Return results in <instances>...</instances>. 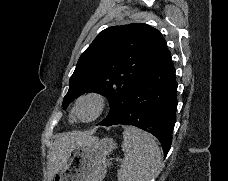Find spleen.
I'll list each match as a JSON object with an SVG mask.
<instances>
[{"instance_id":"3e777b00","label":"spleen","mask_w":228,"mask_h":181,"mask_svg":"<svg viewBox=\"0 0 228 181\" xmlns=\"http://www.w3.org/2000/svg\"><path fill=\"white\" fill-rule=\"evenodd\" d=\"M121 149L126 155L117 173L118 181H152L158 177L161 153L152 135L136 127H124Z\"/></svg>"}]
</instances>
